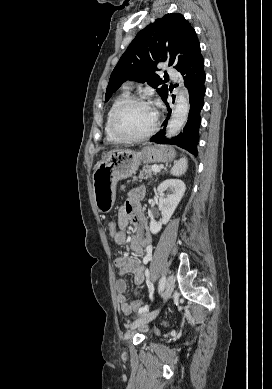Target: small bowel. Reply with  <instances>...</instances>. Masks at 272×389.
I'll list each match as a JSON object with an SVG mask.
<instances>
[{"mask_svg": "<svg viewBox=\"0 0 272 389\" xmlns=\"http://www.w3.org/2000/svg\"><path fill=\"white\" fill-rule=\"evenodd\" d=\"M143 195L144 189L141 187L134 188L129 192L127 200L118 210L117 222L119 232L113 239L119 245L128 242L125 228L131 222L134 226L135 233L129 240L130 248L136 254H144L145 259H148L150 255L149 245L151 237L140 207V200ZM115 264L120 275L115 284L117 303L122 312L129 315L133 312V309L125 297L127 284L123 276L128 273L133 274L135 285L140 287L145 281V267L138 259L126 256L117 258Z\"/></svg>", "mask_w": 272, "mask_h": 389, "instance_id": "small-bowel-1", "label": "small bowel"}]
</instances>
